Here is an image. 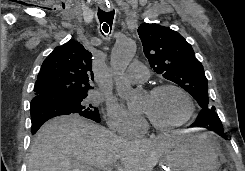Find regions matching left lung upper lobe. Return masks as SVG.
<instances>
[{"instance_id":"5c2ea615","label":"left lung upper lobe","mask_w":245,"mask_h":171,"mask_svg":"<svg viewBox=\"0 0 245 171\" xmlns=\"http://www.w3.org/2000/svg\"><path fill=\"white\" fill-rule=\"evenodd\" d=\"M138 34L151 68L185 89L202 110H215L209 104L208 80L192 46L176 31L158 24H141Z\"/></svg>"}]
</instances>
